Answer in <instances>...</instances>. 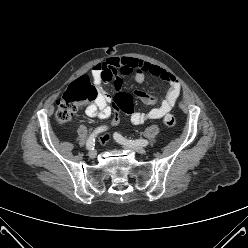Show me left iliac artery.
<instances>
[{
	"label": "left iliac artery",
	"mask_w": 248,
	"mask_h": 248,
	"mask_svg": "<svg viewBox=\"0 0 248 248\" xmlns=\"http://www.w3.org/2000/svg\"><path fill=\"white\" fill-rule=\"evenodd\" d=\"M114 139L121 144H129V145H137V146H147L148 145V141L145 139L128 140L117 132L114 133Z\"/></svg>",
	"instance_id": "left-iliac-artery-1"
}]
</instances>
